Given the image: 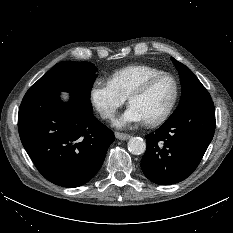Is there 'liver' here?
I'll return each mask as SVG.
<instances>
[{
	"instance_id": "1",
	"label": "liver",
	"mask_w": 233,
	"mask_h": 233,
	"mask_svg": "<svg viewBox=\"0 0 233 233\" xmlns=\"http://www.w3.org/2000/svg\"><path fill=\"white\" fill-rule=\"evenodd\" d=\"M61 97L63 100H68L69 99V94L66 92H61Z\"/></svg>"
}]
</instances>
